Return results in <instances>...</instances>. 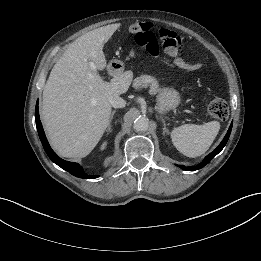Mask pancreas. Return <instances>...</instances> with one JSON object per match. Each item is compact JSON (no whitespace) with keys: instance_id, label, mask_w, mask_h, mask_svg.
<instances>
[{"instance_id":"cf45deb5","label":"pancreas","mask_w":261,"mask_h":261,"mask_svg":"<svg viewBox=\"0 0 261 261\" xmlns=\"http://www.w3.org/2000/svg\"><path fill=\"white\" fill-rule=\"evenodd\" d=\"M133 87L136 89H141L144 87H150L149 92L151 94H156L159 91L158 81L150 75H142L134 80Z\"/></svg>"}]
</instances>
